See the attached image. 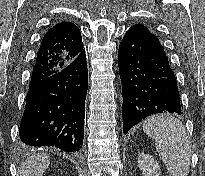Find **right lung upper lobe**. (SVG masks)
<instances>
[{
    "label": "right lung upper lobe",
    "mask_w": 205,
    "mask_h": 176,
    "mask_svg": "<svg viewBox=\"0 0 205 176\" xmlns=\"http://www.w3.org/2000/svg\"><path fill=\"white\" fill-rule=\"evenodd\" d=\"M82 52L81 32L75 24L61 22L50 28L42 39L29 88L58 73Z\"/></svg>",
    "instance_id": "right-lung-upper-lobe-1"
}]
</instances>
